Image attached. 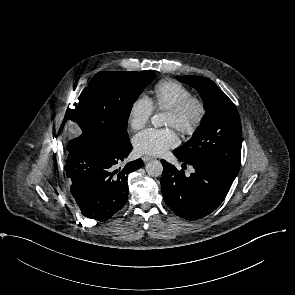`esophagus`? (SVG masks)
<instances>
[{
  "mask_svg": "<svg viewBox=\"0 0 295 295\" xmlns=\"http://www.w3.org/2000/svg\"><path fill=\"white\" fill-rule=\"evenodd\" d=\"M153 159V157H151V156H143L142 157V160L144 161V162H148V161H150V160H152Z\"/></svg>",
  "mask_w": 295,
  "mask_h": 295,
  "instance_id": "1",
  "label": "esophagus"
}]
</instances>
